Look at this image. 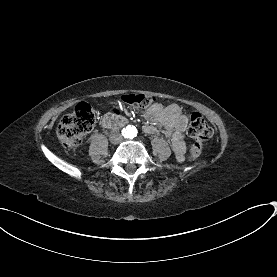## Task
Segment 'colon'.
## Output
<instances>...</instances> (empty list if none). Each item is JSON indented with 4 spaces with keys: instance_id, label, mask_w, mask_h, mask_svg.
<instances>
[{
    "instance_id": "obj_1",
    "label": "colon",
    "mask_w": 277,
    "mask_h": 277,
    "mask_svg": "<svg viewBox=\"0 0 277 277\" xmlns=\"http://www.w3.org/2000/svg\"><path fill=\"white\" fill-rule=\"evenodd\" d=\"M121 104L132 108H144L153 104L154 99L147 95L123 94L117 97ZM75 111L64 115L57 127L56 134L59 142L66 150L77 148L86 134L93 127L95 115L90 109V99H79ZM188 135L200 143L207 142L212 138L213 129L208 122L198 113H193L189 119ZM200 143H194L188 154L191 161L197 160L202 154Z\"/></svg>"
}]
</instances>
